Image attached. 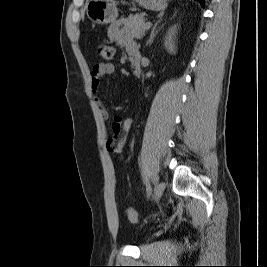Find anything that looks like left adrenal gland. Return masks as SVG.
Masks as SVG:
<instances>
[{
	"label": "left adrenal gland",
	"mask_w": 267,
	"mask_h": 267,
	"mask_svg": "<svg viewBox=\"0 0 267 267\" xmlns=\"http://www.w3.org/2000/svg\"><path fill=\"white\" fill-rule=\"evenodd\" d=\"M161 21H162V19L160 18V19L154 24V26H153V28H152V30H151V33H150V37H149V39H148V41H147V45L150 46V45L153 43L154 38H155L156 35L158 34V31H160V29L163 27V25H162V27H160L159 29H157L158 24H159Z\"/></svg>",
	"instance_id": "obj_1"
}]
</instances>
